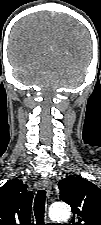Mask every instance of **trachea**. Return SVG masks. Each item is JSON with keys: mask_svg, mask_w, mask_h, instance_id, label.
Segmentation results:
<instances>
[{"mask_svg": "<svg viewBox=\"0 0 101 225\" xmlns=\"http://www.w3.org/2000/svg\"><path fill=\"white\" fill-rule=\"evenodd\" d=\"M46 191L39 190L34 200V213L37 225H44Z\"/></svg>", "mask_w": 101, "mask_h": 225, "instance_id": "3493384b", "label": "trachea"}]
</instances>
